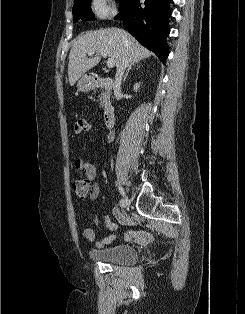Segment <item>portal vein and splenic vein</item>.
I'll return each instance as SVG.
<instances>
[{"instance_id":"portal-vein-and-splenic-vein-1","label":"portal vein and splenic vein","mask_w":245,"mask_h":314,"mask_svg":"<svg viewBox=\"0 0 245 314\" xmlns=\"http://www.w3.org/2000/svg\"><path fill=\"white\" fill-rule=\"evenodd\" d=\"M93 54H94L93 51L88 52V55H93ZM100 54H101V56L104 57V58L107 57V54H106L105 52H101ZM106 63H107V66H108L109 68H112V67H114V65H115V60H114L113 58H108Z\"/></svg>"}]
</instances>
